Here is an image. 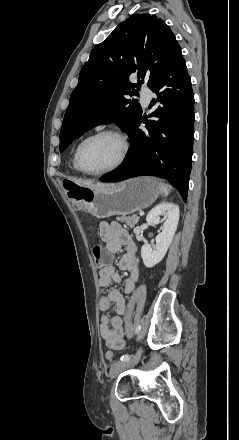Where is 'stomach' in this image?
Masks as SVG:
<instances>
[{
	"instance_id": "1",
	"label": "stomach",
	"mask_w": 239,
	"mask_h": 440,
	"mask_svg": "<svg viewBox=\"0 0 239 440\" xmlns=\"http://www.w3.org/2000/svg\"><path fill=\"white\" fill-rule=\"evenodd\" d=\"M70 184L71 200L96 218L134 214L151 206L162 192L160 182L149 176L131 178L117 186L105 188H85L74 182Z\"/></svg>"
}]
</instances>
